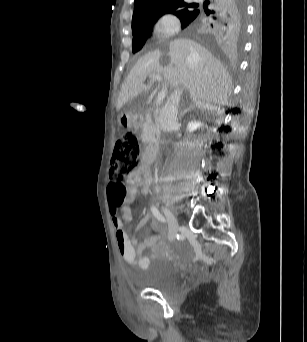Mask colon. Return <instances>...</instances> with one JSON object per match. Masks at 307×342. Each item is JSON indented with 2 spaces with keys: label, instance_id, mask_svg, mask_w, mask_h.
<instances>
[{
  "label": "colon",
  "instance_id": "1",
  "mask_svg": "<svg viewBox=\"0 0 307 342\" xmlns=\"http://www.w3.org/2000/svg\"><path fill=\"white\" fill-rule=\"evenodd\" d=\"M141 147L139 140L134 133H124L118 137L113 153L111 165L109 195L110 204L108 207H116V189H123V202L126 196L124 179L134 172L140 164ZM131 218L130 213H125V219Z\"/></svg>",
  "mask_w": 307,
  "mask_h": 342
}]
</instances>
